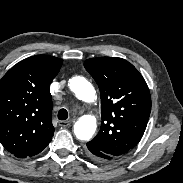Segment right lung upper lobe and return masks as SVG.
I'll use <instances>...</instances> for the list:
<instances>
[{
  "label": "right lung upper lobe",
  "instance_id": "1",
  "mask_svg": "<svg viewBox=\"0 0 183 183\" xmlns=\"http://www.w3.org/2000/svg\"><path fill=\"white\" fill-rule=\"evenodd\" d=\"M62 63L53 56H32L0 80V142L16 157L34 156L52 140L50 84Z\"/></svg>",
  "mask_w": 183,
  "mask_h": 183
}]
</instances>
